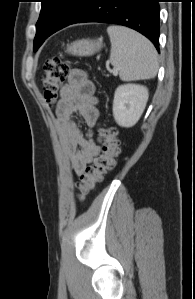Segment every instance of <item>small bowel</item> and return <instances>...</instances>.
Wrapping results in <instances>:
<instances>
[{
	"label": "small bowel",
	"mask_w": 195,
	"mask_h": 299,
	"mask_svg": "<svg viewBox=\"0 0 195 299\" xmlns=\"http://www.w3.org/2000/svg\"><path fill=\"white\" fill-rule=\"evenodd\" d=\"M95 87L83 70L69 72L62 98L57 108V128L64 157L78 176L100 152L99 138H93L97 129L99 109L94 97ZM76 116L84 122L87 133L80 129Z\"/></svg>",
	"instance_id": "1"
}]
</instances>
